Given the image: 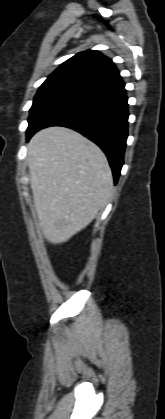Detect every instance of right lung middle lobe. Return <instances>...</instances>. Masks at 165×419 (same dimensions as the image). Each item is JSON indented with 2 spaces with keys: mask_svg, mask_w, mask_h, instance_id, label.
<instances>
[{
  "mask_svg": "<svg viewBox=\"0 0 165 419\" xmlns=\"http://www.w3.org/2000/svg\"><path fill=\"white\" fill-rule=\"evenodd\" d=\"M82 96L80 92L58 88L49 87L39 89L33 105L30 109V116L28 118L29 126L27 128V135L51 112L58 108L72 102L73 100Z\"/></svg>",
  "mask_w": 165,
  "mask_h": 419,
  "instance_id": "obj_1",
  "label": "right lung middle lobe"
}]
</instances>
